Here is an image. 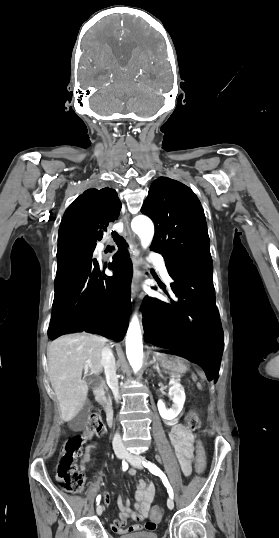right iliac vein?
Here are the masks:
<instances>
[{"mask_svg":"<svg viewBox=\"0 0 279 538\" xmlns=\"http://www.w3.org/2000/svg\"><path fill=\"white\" fill-rule=\"evenodd\" d=\"M117 457H118L119 459H122V458L125 457V454L122 453V452H119V453H117ZM96 512H97V514H98L99 516L102 514V512H103V508H102V506H101L100 504L97 505Z\"/></svg>","mask_w":279,"mask_h":538,"instance_id":"63e3f726","label":"right iliac vein"}]
</instances>
